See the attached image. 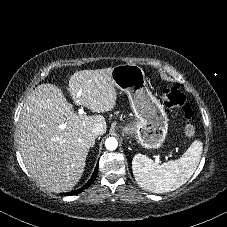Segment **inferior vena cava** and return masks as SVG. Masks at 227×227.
<instances>
[{"label":"inferior vena cava","mask_w":227,"mask_h":227,"mask_svg":"<svg viewBox=\"0 0 227 227\" xmlns=\"http://www.w3.org/2000/svg\"><path fill=\"white\" fill-rule=\"evenodd\" d=\"M91 131L95 136H98V135L105 133L106 127L101 123H96L93 125Z\"/></svg>","instance_id":"602c4592"}]
</instances>
